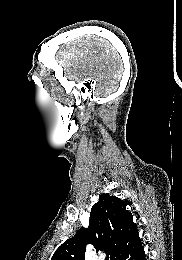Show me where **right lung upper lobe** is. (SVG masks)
<instances>
[{
	"label": "right lung upper lobe",
	"instance_id": "cb5924a9",
	"mask_svg": "<svg viewBox=\"0 0 182 260\" xmlns=\"http://www.w3.org/2000/svg\"><path fill=\"white\" fill-rule=\"evenodd\" d=\"M127 202L109 194H102L92 206L88 228L81 227L74 237L67 239L54 252L51 260H84L86 244L98 252L107 250L110 260L116 258L140 240Z\"/></svg>",
	"mask_w": 182,
	"mask_h": 260
}]
</instances>
